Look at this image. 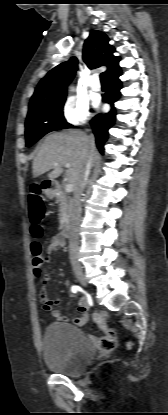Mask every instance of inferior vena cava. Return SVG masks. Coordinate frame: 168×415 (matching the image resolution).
<instances>
[{"instance_id": "602c4592", "label": "inferior vena cava", "mask_w": 168, "mask_h": 415, "mask_svg": "<svg viewBox=\"0 0 168 415\" xmlns=\"http://www.w3.org/2000/svg\"><path fill=\"white\" fill-rule=\"evenodd\" d=\"M91 152L95 146L94 136H89ZM92 167V159L90 158L81 174L74 190H73V199L71 204V213H70V225H69V254L70 262L73 268H80V263L78 261V250H79V225L81 218V196L85 187V184L88 180L90 170Z\"/></svg>"}]
</instances>
